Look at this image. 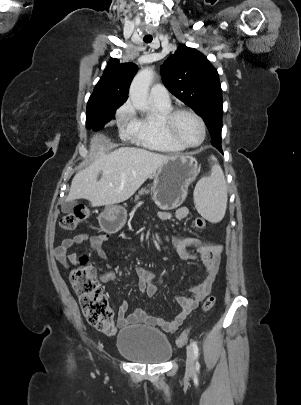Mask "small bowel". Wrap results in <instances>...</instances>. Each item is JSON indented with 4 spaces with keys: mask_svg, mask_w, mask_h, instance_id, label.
Masks as SVG:
<instances>
[{
    "mask_svg": "<svg viewBox=\"0 0 301 405\" xmlns=\"http://www.w3.org/2000/svg\"><path fill=\"white\" fill-rule=\"evenodd\" d=\"M188 215L189 209L186 206H182L174 213L161 212L159 220L166 223L170 220L185 219ZM109 238V234L96 236L78 234L65 238L61 245L55 249L54 255L57 261L66 268L70 265H76L77 256L74 252L69 253V250L75 245L88 241L96 256L101 260H106L107 255L104 246L108 243ZM172 242L181 259L188 261L199 260L202 262L205 271L203 280L198 285L190 287L188 295H178L176 297V301L180 306V312L170 321L149 315L141 308L127 315L128 303L126 301L121 302L117 309V324L119 327L129 324L146 323L158 326L165 332L173 333L197 307L199 302L211 293L219 271L220 256L223 250L222 245L208 243L196 237L183 238L176 235L172 237ZM190 248H194L195 251L191 252ZM135 271L138 277L139 290L152 297L156 292V287L153 283V273L144 267H137ZM115 279L116 276L112 272L105 273L100 277L102 283L113 282Z\"/></svg>",
    "mask_w": 301,
    "mask_h": 405,
    "instance_id": "obj_1",
    "label": "small bowel"
}]
</instances>
